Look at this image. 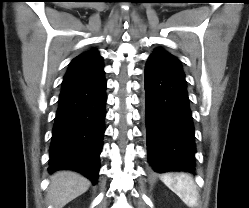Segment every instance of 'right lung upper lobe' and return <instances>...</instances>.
<instances>
[{"label":"right lung upper lobe","instance_id":"right-lung-upper-lobe-1","mask_svg":"<svg viewBox=\"0 0 249 208\" xmlns=\"http://www.w3.org/2000/svg\"><path fill=\"white\" fill-rule=\"evenodd\" d=\"M103 72L102 57L97 50L86 51L71 61L62 82V90L91 80Z\"/></svg>","mask_w":249,"mask_h":208}]
</instances>
